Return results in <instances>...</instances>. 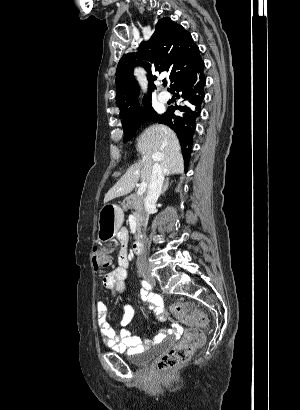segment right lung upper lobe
Returning <instances> with one entry per match:
<instances>
[{
	"mask_svg": "<svg viewBox=\"0 0 300 410\" xmlns=\"http://www.w3.org/2000/svg\"><path fill=\"white\" fill-rule=\"evenodd\" d=\"M134 54H125L117 66L116 102L122 123L134 118L143 108L139 104V87L133 75L136 65L146 69L149 88L153 90L156 74L168 71L172 86L200 58L199 48L194 44L190 33L170 18L160 19L150 40L143 41L138 53ZM149 103L151 93L143 99L144 106ZM183 150L185 155H190L191 147H184Z\"/></svg>",
	"mask_w": 300,
	"mask_h": 410,
	"instance_id": "cb5924a9",
	"label": "right lung upper lobe"
}]
</instances>
